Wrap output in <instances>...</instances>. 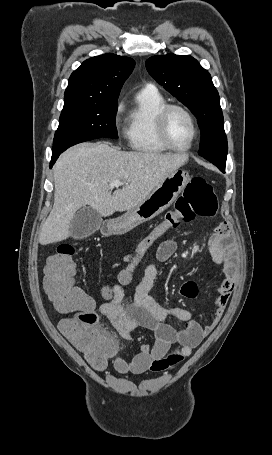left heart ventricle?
I'll return each mask as SVG.
<instances>
[{"mask_svg":"<svg viewBox=\"0 0 272 455\" xmlns=\"http://www.w3.org/2000/svg\"><path fill=\"white\" fill-rule=\"evenodd\" d=\"M167 132L171 142L184 147L189 144L193 130L188 117L179 110H172L167 118Z\"/></svg>","mask_w":272,"mask_h":455,"instance_id":"obj_1","label":"left heart ventricle"}]
</instances>
